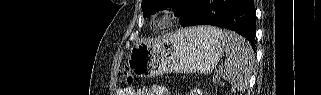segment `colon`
Wrapping results in <instances>:
<instances>
[{
  "label": "colon",
  "mask_w": 321,
  "mask_h": 95,
  "mask_svg": "<svg viewBox=\"0 0 321 95\" xmlns=\"http://www.w3.org/2000/svg\"><path fill=\"white\" fill-rule=\"evenodd\" d=\"M119 77H120V80L123 84L125 85H130L133 83L134 81V78H133V75L132 73L130 72L129 69L127 68H122L120 69L119 71Z\"/></svg>",
  "instance_id": "colon-1"
}]
</instances>
